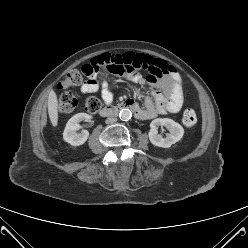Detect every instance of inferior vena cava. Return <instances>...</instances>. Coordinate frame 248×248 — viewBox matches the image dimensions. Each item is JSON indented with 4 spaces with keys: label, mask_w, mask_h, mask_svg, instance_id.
Masks as SVG:
<instances>
[{
    "label": "inferior vena cava",
    "mask_w": 248,
    "mask_h": 248,
    "mask_svg": "<svg viewBox=\"0 0 248 248\" xmlns=\"http://www.w3.org/2000/svg\"><path fill=\"white\" fill-rule=\"evenodd\" d=\"M116 121H117L116 117H109V118L106 119L107 124H112V123H114Z\"/></svg>",
    "instance_id": "602c4592"
}]
</instances>
